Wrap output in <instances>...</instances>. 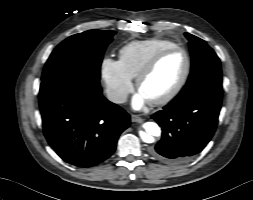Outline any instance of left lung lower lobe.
Returning a JSON list of instances; mask_svg holds the SVG:
<instances>
[{
    "instance_id": "1",
    "label": "left lung lower lobe",
    "mask_w": 253,
    "mask_h": 200,
    "mask_svg": "<svg viewBox=\"0 0 253 200\" xmlns=\"http://www.w3.org/2000/svg\"><path fill=\"white\" fill-rule=\"evenodd\" d=\"M222 90L206 88L189 98L173 99L152 118L162 128L151 155L168 164H179L199 153L212 138L221 109Z\"/></svg>"
}]
</instances>
